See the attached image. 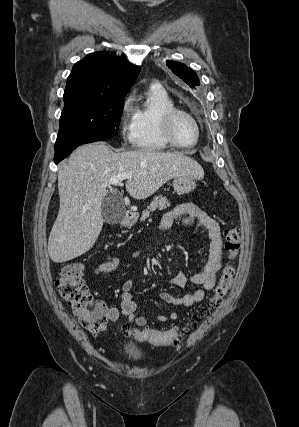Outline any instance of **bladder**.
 I'll return each mask as SVG.
<instances>
[{"label": "bladder", "mask_w": 299, "mask_h": 427, "mask_svg": "<svg viewBox=\"0 0 299 427\" xmlns=\"http://www.w3.org/2000/svg\"><path fill=\"white\" fill-rule=\"evenodd\" d=\"M124 353L132 360H139L143 357L142 351L133 343H125Z\"/></svg>", "instance_id": "1"}]
</instances>
